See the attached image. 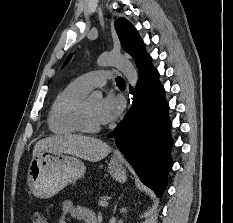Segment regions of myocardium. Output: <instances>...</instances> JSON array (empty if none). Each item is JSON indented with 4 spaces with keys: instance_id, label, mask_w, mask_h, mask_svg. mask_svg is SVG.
Instances as JSON below:
<instances>
[{
    "instance_id": "f54148a6",
    "label": "myocardium",
    "mask_w": 233,
    "mask_h": 223,
    "mask_svg": "<svg viewBox=\"0 0 233 223\" xmlns=\"http://www.w3.org/2000/svg\"><path fill=\"white\" fill-rule=\"evenodd\" d=\"M89 98H85L79 105L76 112V123L78 129L87 134H94L101 130L102 126L100 124L93 125L89 122L87 104Z\"/></svg>"
}]
</instances>
